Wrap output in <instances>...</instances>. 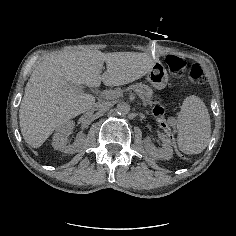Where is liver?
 <instances>
[{
    "mask_svg": "<svg viewBox=\"0 0 236 236\" xmlns=\"http://www.w3.org/2000/svg\"><path fill=\"white\" fill-rule=\"evenodd\" d=\"M144 53L84 49L55 52L38 61L25 87L19 109L21 133L27 144L39 148L57 128L90 110L95 97L79 90L120 86L146 74ZM106 63L107 70L102 73Z\"/></svg>",
    "mask_w": 236,
    "mask_h": 236,
    "instance_id": "obj_1",
    "label": "liver"
}]
</instances>
